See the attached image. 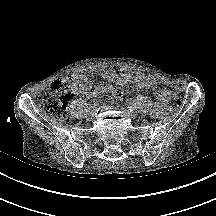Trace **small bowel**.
<instances>
[{"label": "small bowel", "instance_id": "obj_1", "mask_svg": "<svg viewBox=\"0 0 216 216\" xmlns=\"http://www.w3.org/2000/svg\"><path fill=\"white\" fill-rule=\"evenodd\" d=\"M103 77L107 82L115 85L133 84L149 90H156L157 88V82L152 76L133 73L128 69H123L119 74L113 71H106ZM73 90L76 94L86 97H96L103 93L112 94L116 98L122 97V93L119 89L105 83H99L97 85H86L85 83L81 82L77 84ZM155 96L156 102L152 109V115L159 117L164 112L165 103L168 99V91L156 90Z\"/></svg>", "mask_w": 216, "mask_h": 216}]
</instances>
